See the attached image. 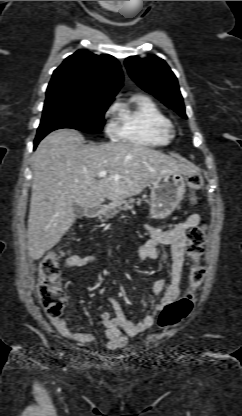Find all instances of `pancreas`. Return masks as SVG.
<instances>
[{"instance_id":"1","label":"pancreas","mask_w":242,"mask_h":416,"mask_svg":"<svg viewBox=\"0 0 242 416\" xmlns=\"http://www.w3.org/2000/svg\"><path fill=\"white\" fill-rule=\"evenodd\" d=\"M134 202H135L134 199H129L128 201H124V200L113 201L112 203L108 204L107 206H104L101 209L100 214L103 215L106 219L112 218L117 213H119L121 210L132 209ZM137 203L140 204L141 201L138 200ZM100 219L103 220L102 216H100Z\"/></svg>"}]
</instances>
